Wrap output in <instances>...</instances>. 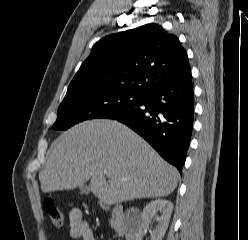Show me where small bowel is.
I'll use <instances>...</instances> for the list:
<instances>
[{"instance_id":"small-bowel-1","label":"small bowel","mask_w":248,"mask_h":240,"mask_svg":"<svg viewBox=\"0 0 248 240\" xmlns=\"http://www.w3.org/2000/svg\"><path fill=\"white\" fill-rule=\"evenodd\" d=\"M70 236L73 239L96 240L90 223L83 218L79 209L74 208L69 213Z\"/></svg>"}]
</instances>
